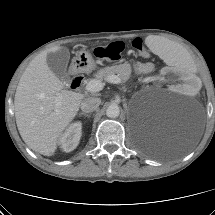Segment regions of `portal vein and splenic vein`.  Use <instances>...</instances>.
Returning a JSON list of instances; mask_svg holds the SVG:
<instances>
[{
	"instance_id": "portal-vein-and-splenic-vein-1",
	"label": "portal vein and splenic vein",
	"mask_w": 215,
	"mask_h": 215,
	"mask_svg": "<svg viewBox=\"0 0 215 215\" xmlns=\"http://www.w3.org/2000/svg\"><path fill=\"white\" fill-rule=\"evenodd\" d=\"M107 82L114 83V84H120L122 82L121 78L117 75H111L107 79ZM103 83L99 80H91L89 81L85 89L89 92H98L103 89Z\"/></svg>"
}]
</instances>
